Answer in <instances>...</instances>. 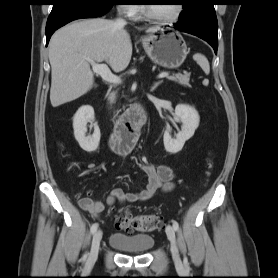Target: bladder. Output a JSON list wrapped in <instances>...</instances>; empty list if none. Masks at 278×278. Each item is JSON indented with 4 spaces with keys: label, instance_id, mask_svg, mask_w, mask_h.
Instances as JSON below:
<instances>
[{
    "label": "bladder",
    "instance_id": "31cf9c89",
    "mask_svg": "<svg viewBox=\"0 0 278 278\" xmlns=\"http://www.w3.org/2000/svg\"><path fill=\"white\" fill-rule=\"evenodd\" d=\"M108 242L111 247L127 252H145L154 246L153 236L143 233L128 235L114 232Z\"/></svg>",
    "mask_w": 278,
    "mask_h": 278
}]
</instances>
